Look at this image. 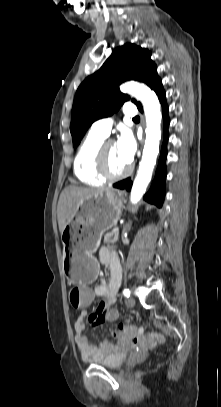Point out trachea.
Returning a JSON list of instances; mask_svg holds the SVG:
<instances>
[{
    "mask_svg": "<svg viewBox=\"0 0 221 407\" xmlns=\"http://www.w3.org/2000/svg\"><path fill=\"white\" fill-rule=\"evenodd\" d=\"M133 120H140V117L136 116V117L133 118Z\"/></svg>",
    "mask_w": 221,
    "mask_h": 407,
    "instance_id": "3493384b",
    "label": "trachea"
}]
</instances>
